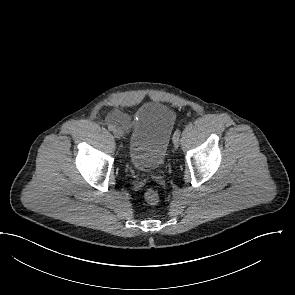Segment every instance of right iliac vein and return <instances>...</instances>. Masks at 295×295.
Wrapping results in <instances>:
<instances>
[{
	"label": "right iliac vein",
	"instance_id": "1",
	"mask_svg": "<svg viewBox=\"0 0 295 295\" xmlns=\"http://www.w3.org/2000/svg\"><path fill=\"white\" fill-rule=\"evenodd\" d=\"M113 134L115 138L120 139L123 136V131L121 130V128H116L113 130Z\"/></svg>",
	"mask_w": 295,
	"mask_h": 295
}]
</instances>
